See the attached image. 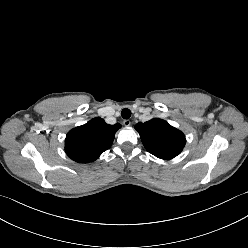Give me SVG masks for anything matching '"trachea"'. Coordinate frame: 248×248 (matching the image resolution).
<instances>
[{
  "mask_svg": "<svg viewBox=\"0 0 248 248\" xmlns=\"http://www.w3.org/2000/svg\"><path fill=\"white\" fill-rule=\"evenodd\" d=\"M123 119H129L131 117V111L128 108H124L121 112Z\"/></svg>",
  "mask_w": 248,
  "mask_h": 248,
  "instance_id": "obj_1",
  "label": "trachea"
}]
</instances>
